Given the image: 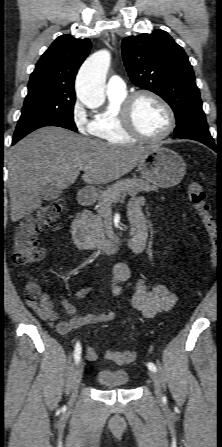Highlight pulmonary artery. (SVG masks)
<instances>
[{
  "mask_svg": "<svg viewBox=\"0 0 222 447\" xmlns=\"http://www.w3.org/2000/svg\"><path fill=\"white\" fill-rule=\"evenodd\" d=\"M106 89L109 94H122L126 91V84L120 76L113 75L109 78Z\"/></svg>",
  "mask_w": 222,
  "mask_h": 447,
  "instance_id": "e3ab8cb5",
  "label": "pulmonary artery"
}]
</instances>
